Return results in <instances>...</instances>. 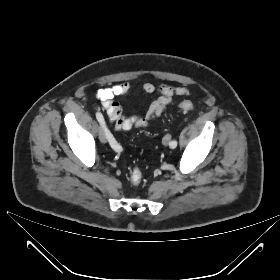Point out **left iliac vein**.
I'll return each instance as SVG.
<instances>
[{
  "mask_svg": "<svg viewBox=\"0 0 280 280\" xmlns=\"http://www.w3.org/2000/svg\"><path fill=\"white\" fill-rule=\"evenodd\" d=\"M170 140H171V134H166L163 138V144L164 145H168L170 143Z\"/></svg>",
  "mask_w": 280,
  "mask_h": 280,
  "instance_id": "left-iliac-vein-1",
  "label": "left iliac vein"
}]
</instances>
